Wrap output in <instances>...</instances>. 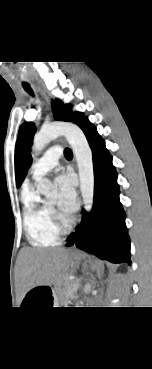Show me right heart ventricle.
Listing matches in <instances>:
<instances>
[{
  "label": "right heart ventricle",
  "mask_w": 152,
  "mask_h": 369,
  "mask_svg": "<svg viewBox=\"0 0 152 369\" xmlns=\"http://www.w3.org/2000/svg\"><path fill=\"white\" fill-rule=\"evenodd\" d=\"M23 226L32 246H54L60 236L49 206L43 203L33 188L22 193Z\"/></svg>",
  "instance_id": "e07e8e85"
}]
</instances>
